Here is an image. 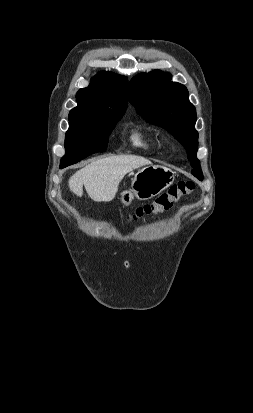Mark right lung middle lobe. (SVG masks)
Returning <instances> with one entry per match:
<instances>
[{"label":"right lung middle lobe","instance_id":"obj_1","mask_svg":"<svg viewBox=\"0 0 253 413\" xmlns=\"http://www.w3.org/2000/svg\"><path fill=\"white\" fill-rule=\"evenodd\" d=\"M122 116L123 114L69 122L65 137L66 154L61 159L60 167L75 164L93 153L104 152L108 137Z\"/></svg>","mask_w":253,"mask_h":413}]
</instances>
